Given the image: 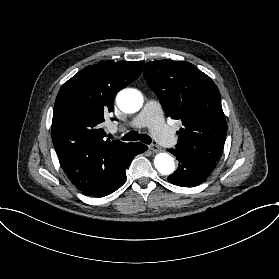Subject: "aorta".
<instances>
[{"instance_id":"1","label":"aorta","mask_w":279,"mask_h":279,"mask_svg":"<svg viewBox=\"0 0 279 279\" xmlns=\"http://www.w3.org/2000/svg\"><path fill=\"white\" fill-rule=\"evenodd\" d=\"M119 109L125 113H135L144 103L143 95L134 88L121 90L116 97ZM154 166L162 175H170L175 171L174 158L168 153H158L154 158Z\"/></svg>"}]
</instances>
